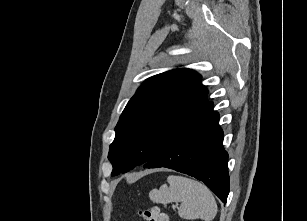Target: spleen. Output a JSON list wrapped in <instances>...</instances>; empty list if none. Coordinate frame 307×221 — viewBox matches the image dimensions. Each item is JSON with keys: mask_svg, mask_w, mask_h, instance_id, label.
<instances>
[{"mask_svg": "<svg viewBox=\"0 0 307 221\" xmlns=\"http://www.w3.org/2000/svg\"><path fill=\"white\" fill-rule=\"evenodd\" d=\"M167 184L149 193L153 203L180 202L178 214L186 220L212 221L217 213L216 201L210 190L202 183L183 176L170 175Z\"/></svg>", "mask_w": 307, "mask_h": 221, "instance_id": "spleen-1", "label": "spleen"}]
</instances>
